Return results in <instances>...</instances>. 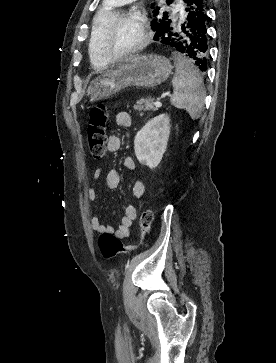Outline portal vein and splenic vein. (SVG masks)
<instances>
[{"label":"portal vein and splenic vein","instance_id":"1","mask_svg":"<svg viewBox=\"0 0 276 363\" xmlns=\"http://www.w3.org/2000/svg\"><path fill=\"white\" fill-rule=\"evenodd\" d=\"M154 105L156 107H161L162 106V103H161V101H156V102H154Z\"/></svg>","mask_w":276,"mask_h":363}]
</instances>
